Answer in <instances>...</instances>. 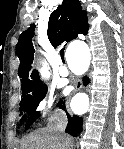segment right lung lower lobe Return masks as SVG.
<instances>
[{
    "instance_id": "obj_1",
    "label": "right lung lower lobe",
    "mask_w": 124,
    "mask_h": 149,
    "mask_svg": "<svg viewBox=\"0 0 124 149\" xmlns=\"http://www.w3.org/2000/svg\"><path fill=\"white\" fill-rule=\"evenodd\" d=\"M59 107L63 109L68 117V125L65 129V132L72 135L73 137L78 136L82 132V125H83V119L77 115L70 116L65 108V101L61 100L59 102ZM39 114H33L29 117V119L26 122L25 128L28 129L33 122L38 118Z\"/></svg>"
}]
</instances>
